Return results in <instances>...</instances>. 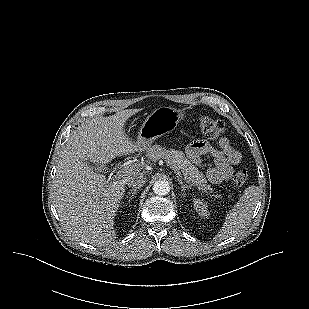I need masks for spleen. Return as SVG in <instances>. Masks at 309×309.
<instances>
[{"mask_svg":"<svg viewBox=\"0 0 309 309\" xmlns=\"http://www.w3.org/2000/svg\"><path fill=\"white\" fill-rule=\"evenodd\" d=\"M260 190L257 186L247 187L236 205L225 217L222 228L215 236V240H225L238 234L251 220L253 211L259 201Z\"/></svg>","mask_w":309,"mask_h":309,"instance_id":"spleen-1","label":"spleen"}]
</instances>
